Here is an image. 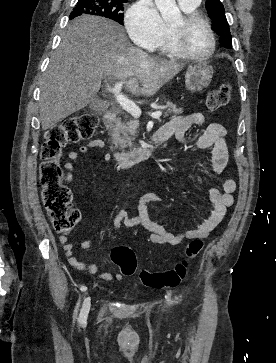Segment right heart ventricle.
<instances>
[{
  "instance_id": "right-heart-ventricle-1",
  "label": "right heart ventricle",
  "mask_w": 276,
  "mask_h": 363,
  "mask_svg": "<svg viewBox=\"0 0 276 363\" xmlns=\"http://www.w3.org/2000/svg\"><path fill=\"white\" fill-rule=\"evenodd\" d=\"M185 12H190V11H194L195 7H183ZM157 49H159L162 53L170 55V56H174V57H178L180 56L179 53L174 49L173 45H172V41H171V26L170 25H166V32L164 37L162 38V40L160 41V43L157 46Z\"/></svg>"
}]
</instances>
